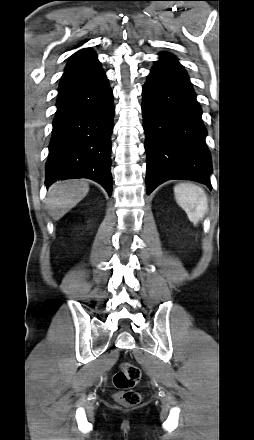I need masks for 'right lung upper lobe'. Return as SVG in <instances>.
Here are the masks:
<instances>
[{
	"label": "right lung upper lobe",
	"instance_id": "cb5924a9",
	"mask_svg": "<svg viewBox=\"0 0 254 440\" xmlns=\"http://www.w3.org/2000/svg\"><path fill=\"white\" fill-rule=\"evenodd\" d=\"M97 61L95 52L89 48L75 53L66 65L65 73Z\"/></svg>",
	"mask_w": 254,
	"mask_h": 440
}]
</instances>
